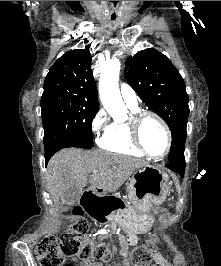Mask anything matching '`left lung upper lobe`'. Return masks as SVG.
I'll return each instance as SVG.
<instances>
[{"mask_svg": "<svg viewBox=\"0 0 221 266\" xmlns=\"http://www.w3.org/2000/svg\"><path fill=\"white\" fill-rule=\"evenodd\" d=\"M124 76L142 101L169 126V161L184 156L189 116L185 83L171 61L154 48L139 51L125 62Z\"/></svg>", "mask_w": 221, "mask_h": 266, "instance_id": "left-lung-upper-lobe-1", "label": "left lung upper lobe"}]
</instances>
